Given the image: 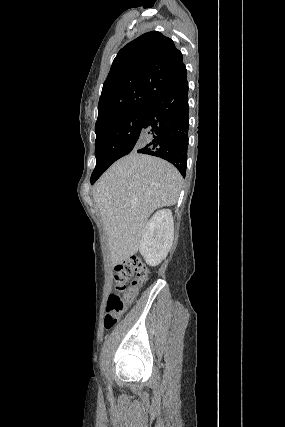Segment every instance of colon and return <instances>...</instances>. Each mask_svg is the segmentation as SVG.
<instances>
[{"label":"colon","mask_w":285,"mask_h":427,"mask_svg":"<svg viewBox=\"0 0 285 427\" xmlns=\"http://www.w3.org/2000/svg\"><path fill=\"white\" fill-rule=\"evenodd\" d=\"M148 276V265L137 257L130 258L114 268V292L108 296L107 300L105 329H110L117 324L138 295Z\"/></svg>","instance_id":"5ec220e1"}]
</instances>
